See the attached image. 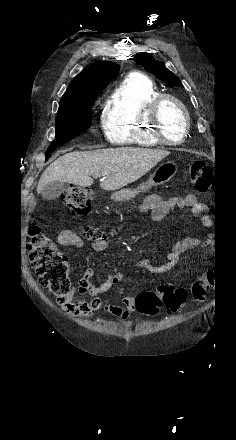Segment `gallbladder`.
Wrapping results in <instances>:
<instances>
[{
    "mask_svg": "<svg viewBox=\"0 0 236 440\" xmlns=\"http://www.w3.org/2000/svg\"><path fill=\"white\" fill-rule=\"evenodd\" d=\"M66 188L65 182L55 181L46 185L41 191V196L45 200H55L57 199Z\"/></svg>",
    "mask_w": 236,
    "mask_h": 440,
    "instance_id": "gallbladder-1",
    "label": "gallbladder"
}]
</instances>
